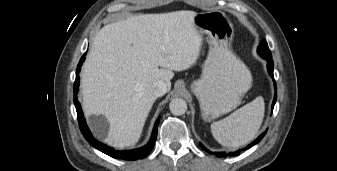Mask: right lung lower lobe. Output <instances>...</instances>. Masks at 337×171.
Masks as SVG:
<instances>
[{
    "label": "right lung lower lobe",
    "instance_id": "obj_1",
    "mask_svg": "<svg viewBox=\"0 0 337 171\" xmlns=\"http://www.w3.org/2000/svg\"><path fill=\"white\" fill-rule=\"evenodd\" d=\"M84 59H85V54L82 56L77 66L76 80L74 82V104L77 110L78 122H79V126H80L83 136L93 147H95L96 149L100 150L101 152L113 158L123 159V160H138V159H142L146 157L154 147L156 136H157L159 120H157V122L155 123L149 143L142 148L133 149V150H123V151L115 150L97 141L95 138H93L92 134L90 133L88 129L86 121L83 117L80 103L77 100V93H78V86H79V72H80V67L82 66Z\"/></svg>",
    "mask_w": 337,
    "mask_h": 171
}]
</instances>
